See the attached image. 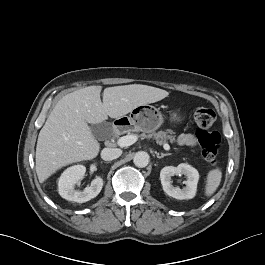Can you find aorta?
Returning a JSON list of instances; mask_svg holds the SVG:
<instances>
[{"label": "aorta", "instance_id": "1", "mask_svg": "<svg viewBox=\"0 0 265 265\" xmlns=\"http://www.w3.org/2000/svg\"><path fill=\"white\" fill-rule=\"evenodd\" d=\"M149 154L145 151H139L135 154L133 162L136 167L144 168L149 163Z\"/></svg>", "mask_w": 265, "mask_h": 265}]
</instances>
